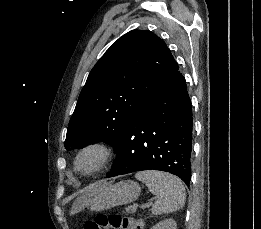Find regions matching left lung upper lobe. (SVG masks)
Listing matches in <instances>:
<instances>
[{
	"mask_svg": "<svg viewBox=\"0 0 261 229\" xmlns=\"http://www.w3.org/2000/svg\"><path fill=\"white\" fill-rule=\"evenodd\" d=\"M178 69L165 42L152 32L123 35L91 70L70 119L65 148L104 141L116 150L144 101Z\"/></svg>",
	"mask_w": 261,
	"mask_h": 229,
	"instance_id": "obj_1",
	"label": "left lung upper lobe"
}]
</instances>
